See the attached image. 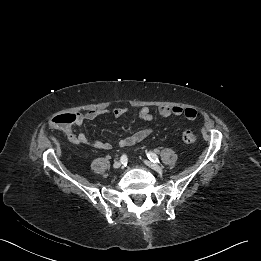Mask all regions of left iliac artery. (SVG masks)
<instances>
[{
	"label": "left iliac artery",
	"instance_id": "44dca946",
	"mask_svg": "<svg viewBox=\"0 0 261 261\" xmlns=\"http://www.w3.org/2000/svg\"><path fill=\"white\" fill-rule=\"evenodd\" d=\"M147 157H148V159H149L150 161H152L153 163L159 162L158 156H157L155 153H153V152H148V153H147Z\"/></svg>",
	"mask_w": 261,
	"mask_h": 261
}]
</instances>
